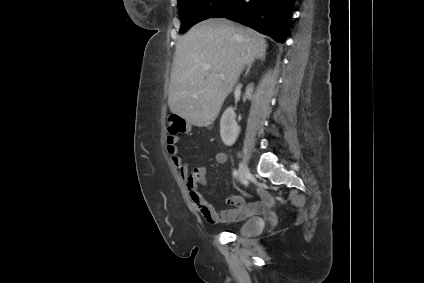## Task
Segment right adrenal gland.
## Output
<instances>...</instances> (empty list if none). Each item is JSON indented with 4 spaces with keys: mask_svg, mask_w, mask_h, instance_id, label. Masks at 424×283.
<instances>
[{
    "mask_svg": "<svg viewBox=\"0 0 424 283\" xmlns=\"http://www.w3.org/2000/svg\"><path fill=\"white\" fill-rule=\"evenodd\" d=\"M256 59H260V60L264 61L265 60V53L260 54ZM254 62H255V60L251 61L248 64L247 69H246V72H245V76L248 75V73H249V71H250V69H251V67H252V65H253Z\"/></svg>",
    "mask_w": 424,
    "mask_h": 283,
    "instance_id": "right-adrenal-gland-1",
    "label": "right adrenal gland"
}]
</instances>
